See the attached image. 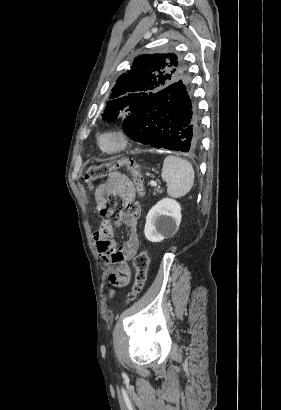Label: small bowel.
<instances>
[{
  "label": "small bowel",
  "mask_w": 281,
  "mask_h": 410,
  "mask_svg": "<svg viewBox=\"0 0 281 410\" xmlns=\"http://www.w3.org/2000/svg\"><path fill=\"white\" fill-rule=\"evenodd\" d=\"M113 195L134 199V187L131 181L118 172L112 173L95 191L96 212L101 223L93 239L99 256L106 265L114 267L108 276L110 283L121 287L127 285L130 278L127 261L134 258L139 249V217L138 214L122 213L117 219H112L108 197ZM123 224L127 226L129 234L126 242L117 250L112 240L114 227Z\"/></svg>",
  "instance_id": "small-bowel-1"
}]
</instances>
